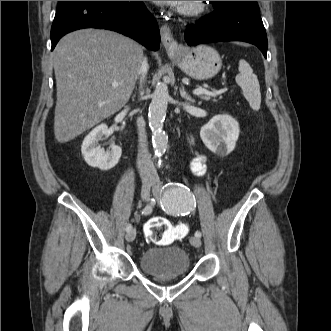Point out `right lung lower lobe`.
I'll use <instances>...</instances> for the list:
<instances>
[{
	"mask_svg": "<svg viewBox=\"0 0 331 331\" xmlns=\"http://www.w3.org/2000/svg\"><path fill=\"white\" fill-rule=\"evenodd\" d=\"M83 28L113 30L158 50V24L142 1H60L51 28L54 49L65 34Z\"/></svg>",
	"mask_w": 331,
	"mask_h": 331,
	"instance_id": "98d812e1",
	"label": "right lung lower lobe"
}]
</instances>
